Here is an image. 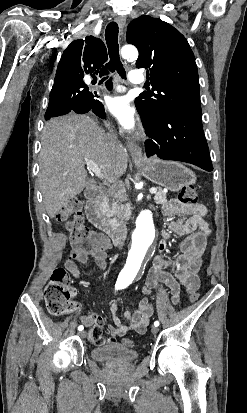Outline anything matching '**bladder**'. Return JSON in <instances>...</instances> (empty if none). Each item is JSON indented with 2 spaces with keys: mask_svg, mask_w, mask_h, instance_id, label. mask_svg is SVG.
<instances>
[{
  "mask_svg": "<svg viewBox=\"0 0 247 413\" xmlns=\"http://www.w3.org/2000/svg\"><path fill=\"white\" fill-rule=\"evenodd\" d=\"M90 355L94 361L107 364H128L138 357L136 351L118 343H109L91 350Z\"/></svg>",
  "mask_w": 247,
  "mask_h": 413,
  "instance_id": "1",
  "label": "bladder"
}]
</instances>
